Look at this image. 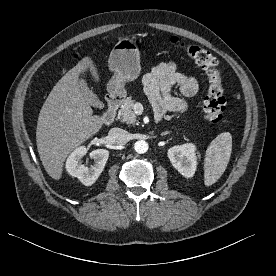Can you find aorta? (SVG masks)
<instances>
[{"label":"aorta","instance_id":"1","mask_svg":"<svg viewBox=\"0 0 276 276\" xmlns=\"http://www.w3.org/2000/svg\"><path fill=\"white\" fill-rule=\"evenodd\" d=\"M148 148H149L148 143L146 141H143V140L137 141L134 144V149L139 154L146 153L148 151Z\"/></svg>","mask_w":276,"mask_h":276}]
</instances>
